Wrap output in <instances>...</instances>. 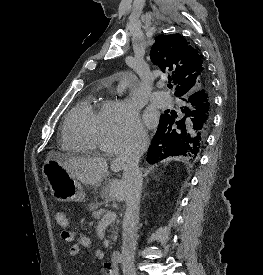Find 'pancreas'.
Listing matches in <instances>:
<instances>
[{
    "instance_id": "pancreas-1",
    "label": "pancreas",
    "mask_w": 263,
    "mask_h": 275,
    "mask_svg": "<svg viewBox=\"0 0 263 275\" xmlns=\"http://www.w3.org/2000/svg\"><path fill=\"white\" fill-rule=\"evenodd\" d=\"M100 204L99 203H92L89 205V209L92 211V217L94 219H101L108 211L106 209L99 208ZM116 230L112 231V235L110 236L113 241H116L117 239V234H118V228L117 226L115 227Z\"/></svg>"
}]
</instances>
